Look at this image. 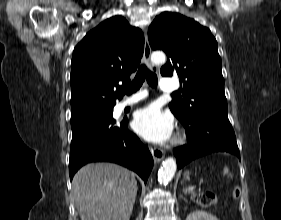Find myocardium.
<instances>
[{"label": "myocardium", "instance_id": "f54148a6", "mask_svg": "<svg viewBox=\"0 0 281 220\" xmlns=\"http://www.w3.org/2000/svg\"><path fill=\"white\" fill-rule=\"evenodd\" d=\"M183 140H184L183 135L182 134H177L173 141H174L175 144H179V143L183 142Z\"/></svg>", "mask_w": 281, "mask_h": 220}]
</instances>
